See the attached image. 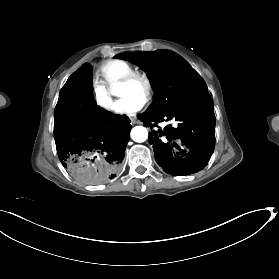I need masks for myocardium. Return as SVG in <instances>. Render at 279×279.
<instances>
[{
  "label": "myocardium",
  "mask_w": 279,
  "mask_h": 279,
  "mask_svg": "<svg viewBox=\"0 0 279 279\" xmlns=\"http://www.w3.org/2000/svg\"><path fill=\"white\" fill-rule=\"evenodd\" d=\"M139 84L143 88V99L144 101H148L151 99L152 95V83L149 77L143 73L132 71L126 74L118 83V87L120 86H128Z\"/></svg>",
  "instance_id": "myocardium-1"
}]
</instances>
